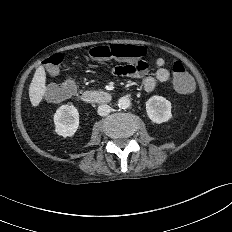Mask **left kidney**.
<instances>
[{"mask_svg":"<svg viewBox=\"0 0 232 232\" xmlns=\"http://www.w3.org/2000/svg\"><path fill=\"white\" fill-rule=\"evenodd\" d=\"M171 108V102L162 96H152L146 102L147 115L157 124L167 122L172 117Z\"/></svg>","mask_w":232,"mask_h":232,"instance_id":"5707ae66","label":"left kidney"}]
</instances>
